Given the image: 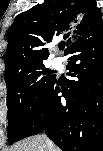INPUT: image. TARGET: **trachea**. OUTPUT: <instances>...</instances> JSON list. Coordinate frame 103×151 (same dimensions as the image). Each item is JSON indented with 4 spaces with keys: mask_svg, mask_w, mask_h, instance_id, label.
Returning <instances> with one entry per match:
<instances>
[{
    "mask_svg": "<svg viewBox=\"0 0 103 151\" xmlns=\"http://www.w3.org/2000/svg\"><path fill=\"white\" fill-rule=\"evenodd\" d=\"M64 47H65V43H61V44L59 45V49H64Z\"/></svg>",
    "mask_w": 103,
    "mask_h": 151,
    "instance_id": "3493384b",
    "label": "trachea"
}]
</instances>
